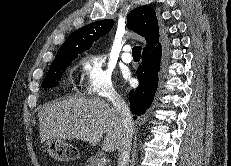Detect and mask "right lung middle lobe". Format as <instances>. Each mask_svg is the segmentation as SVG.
Returning a JSON list of instances; mask_svg holds the SVG:
<instances>
[{
    "instance_id": "dd1d6c3e",
    "label": "right lung middle lobe",
    "mask_w": 231,
    "mask_h": 166,
    "mask_svg": "<svg viewBox=\"0 0 231 166\" xmlns=\"http://www.w3.org/2000/svg\"><path fill=\"white\" fill-rule=\"evenodd\" d=\"M76 57V55H62L56 57L42 82V87L52 88L58 85L63 72Z\"/></svg>"
}]
</instances>
